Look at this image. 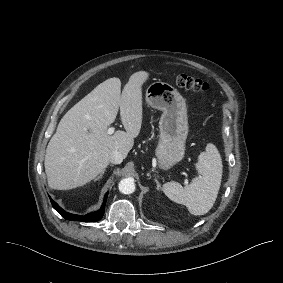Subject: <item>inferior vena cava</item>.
<instances>
[{
	"instance_id": "602c4592",
	"label": "inferior vena cava",
	"mask_w": 283,
	"mask_h": 283,
	"mask_svg": "<svg viewBox=\"0 0 283 283\" xmlns=\"http://www.w3.org/2000/svg\"><path fill=\"white\" fill-rule=\"evenodd\" d=\"M122 161H123V156H122V154L120 152L112 151L110 153V163L111 164L117 165V164L122 163Z\"/></svg>"
}]
</instances>
